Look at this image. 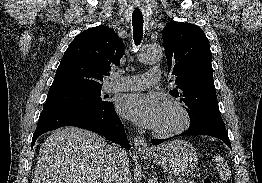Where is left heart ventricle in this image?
Returning <instances> with one entry per match:
<instances>
[{
    "instance_id": "obj_1",
    "label": "left heart ventricle",
    "mask_w": 262,
    "mask_h": 183,
    "mask_svg": "<svg viewBox=\"0 0 262 183\" xmlns=\"http://www.w3.org/2000/svg\"><path fill=\"white\" fill-rule=\"evenodd\" d=\"M181 123L179 111L171 106H163L162 111L154 130L159 132H168L177 128Z\"/></svg>"
}]
</instances>
